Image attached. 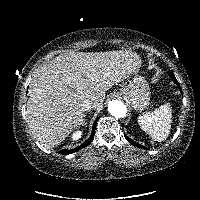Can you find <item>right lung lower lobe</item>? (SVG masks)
I'll use <instances>...</instances> for the list:
<instances>
[{
  "label": "right lung lower lobe",
  "mask_w": 200,
  "mask_h": 200,
  "mask_svg": "<svg viewBox=\"0 0 200 200\" xmlns=\"http://www.w3.org/2000/svg\"><path fill=\"white\" fill-rule=\"evenodd\" d=\"M95 124H96V121L93 125V131H92V134L91 136L80 146H78L77 148L75 149H72V150H68V149H63L60 151V154H63V155H68V154H71V153H74L76 151H79L80 149L84 148L85 146L89 145L90 142L92 141L93 137H94V133H95Z\"/></svg>",
  "instance_id": "1"
}]
</instances>
